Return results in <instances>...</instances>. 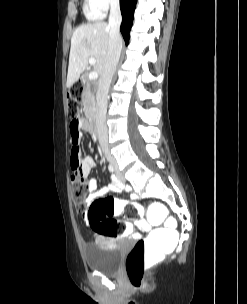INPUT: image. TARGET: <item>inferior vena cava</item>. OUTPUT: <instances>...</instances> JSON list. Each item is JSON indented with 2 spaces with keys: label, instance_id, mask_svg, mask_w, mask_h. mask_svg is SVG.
Here are the masks:
<instances>
[{
  "label": "inferior vena cava",
  "instance_id": "1",
  "mask_svg": "<svg viewBox=\"0 0 247 304\" xmlns=\"http://www.w3.org/2000/svg\"><path fill=\"white\" fill-rule=\"evenodd\" d=\"M121 12L119 0H112L109 15V45L107 51V61L103 73L98 81L96 93V112L94 117L95 129L102 151L107 161L116 165L115 158L111 155L108 145V129L106 125L108 91L119 61L122 39L120 35Z\"/></svg>",
  "mask_w": 247,
  "mask_h": 304
}]
</instances>
